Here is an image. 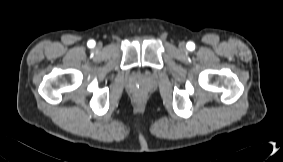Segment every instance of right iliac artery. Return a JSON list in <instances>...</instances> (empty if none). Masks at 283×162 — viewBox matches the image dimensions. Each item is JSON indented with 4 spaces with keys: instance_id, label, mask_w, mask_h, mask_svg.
<instances>
[{
    "instance_id": "82829eb1",
    "label": "right iliac artery",
    "mask_w": 283,
    "mask_h": 162,
    "mask_svg": "<svg viewBox=\"0 0 283 162\" xmlns=\"http://www.w3.org/2000/svg\"><path fill=\"white\" fill-rule=\"evenodd\" d=\"M94 46H95V41L94 40L88 41V47L92 48Z\"/></svg>"
}]
</instances>
